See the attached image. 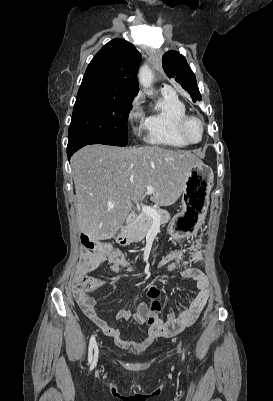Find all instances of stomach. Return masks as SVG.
<instances>
[{"label": "stomach", "instance_id": "obj_1", "mask_svg": "<svg viewBox=\"0 0 273 401\" xmlns=\"http://www.w3.org/2000/svg\"><path fill=\"white\" fill-rule=\"evenodd\" d=\"M213 180V170L204 162L192 164L186 170L181 196L182 211L173 217L167 229L172 239H187L198 233L208 211Z\"/></svg>", "mask_w": 273, "mask_h": 401}]
</instances>
